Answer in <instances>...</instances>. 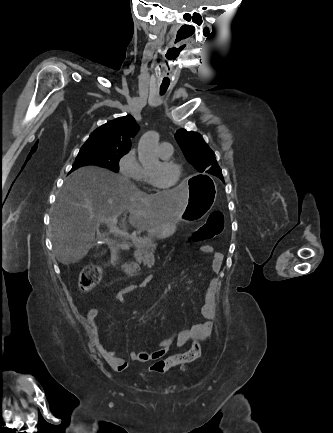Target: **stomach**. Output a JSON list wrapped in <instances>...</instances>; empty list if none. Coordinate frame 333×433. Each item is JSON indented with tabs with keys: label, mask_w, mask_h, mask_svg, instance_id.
I'll use <instances>...</instances> for the list:
<instances>
[{
	"label": "stomach",
	"mask_w": 333,
	"mask_h": 433,
	"mask_svg": "<svg viewBox=\"0 0 333 433\" xmlns=\"http://www.w3.org/2000/svg\"><path fill=\"white\" fill-rule=\"evenodd\" d=\"M189 181L191 182L189 201L182 215H178L176 220L168 222L161 231L153 235L163 238L171 234L178 221L195 225L198 218L204 217L213 208L217 196V187L213 179L205 174H191Z\"/></svg>",
	"instance_id": "obj_1"
}]
</instances>
